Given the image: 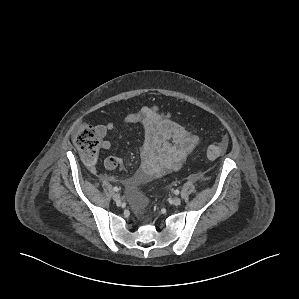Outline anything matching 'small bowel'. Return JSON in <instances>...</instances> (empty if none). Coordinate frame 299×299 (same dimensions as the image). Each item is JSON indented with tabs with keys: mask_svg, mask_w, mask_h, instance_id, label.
Masks as SVG:
<instances>
[{
	"mask_svg": "<svg viewBox=\"0 0 299 299\" xmlns=\"http://www.w3.org/2000/svg\"><path fill=\"white\" fill-rule=\"evenodd\" d=\"M136 124L143 128L141 163L135 175L126 182V186L133 194L135 208L140 209L146 204V197L140 187L167 173L178 171L197 146L198 138L179 123L165 119L153 107H143L125 116L124 126ZM114 129L112 122L96 127V131L103 139L101 145L105 150L111 147L106 136ZM119 164L120 160L114 156H109L104 161V166L108 170L115 169ZM108 179L114 180L113 177Z\"/></svg>",
	"mask_w": 299,
	"mask_h": 299,
	"instance_id": "obj_1",
	"label": "small bowel"
}]
</instances>
